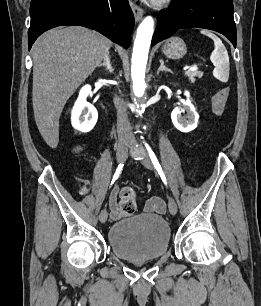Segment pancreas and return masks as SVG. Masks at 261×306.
<instances>
[{
  "label": "pancreas",
  "mask_w": 261,
  "mask_h": 306,
  "mask_svg": "<svg viewBox=\"0 0 261 306\" xmlns=\"http://www.w3.org/2000/svg\"><path fill=\"white\" fill-rule=\"evenodd\" d=\"M185 75L189 78L190 82L195 81V77H202L203 73L200 71H187L185 72Z\"/></svg>",
  "instance_id": "obj_1"
}]
</instances>
